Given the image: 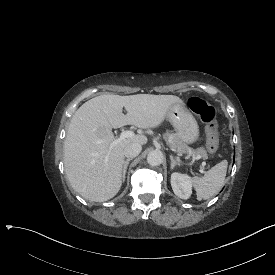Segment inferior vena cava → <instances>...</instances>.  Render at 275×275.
<instances>
[{"instance_id": "602c4592", "label": "inferior vena cava", "mask_w": 275, "mask_h": 275, "mask_svg": "<svg viewBox=\"0 0 275 275\" xmlns=\"http://www.w3.org/2000/svg\"><path fill=\"white\" fill-rule=\"evenodd\" d=\"M142 147L139 143H129L124 147L123 154L126 157H136L141 152Z\"/></svg>"}]
</instances>
